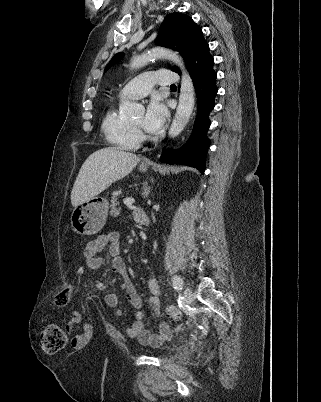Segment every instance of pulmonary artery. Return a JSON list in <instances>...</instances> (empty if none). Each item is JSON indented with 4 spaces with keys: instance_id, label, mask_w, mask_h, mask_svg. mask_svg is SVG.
Masks as SVG:
<instances>
[{
    "instance_id": "obj_1",
    "label": "pulmonary artery",
    "mask_w": 321,
    "mask_h": 402,
    "mask_svg": "<svg viewBox=\"0 0 321 402\" xmlns=\"http://www.w3.org/2000/svg\"><path fill=\"white\" fill-rule=\"evenodd\" d=\"M179 82V76L171 70L161 69L143 73L127 83L119 93L120 98H141L146 96L155 85L168 86Z\"/></svg>"
}]
</instances>
